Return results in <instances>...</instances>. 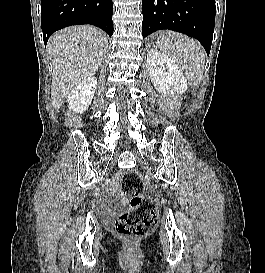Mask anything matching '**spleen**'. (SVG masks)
<instances>
[{"label": "spleen", "instance_id": "spleen-1", "mask_svg": "<svg viewBox=\"0 0 265 273\" xmlns=\"http://www.w3.org/2000/svg\"><path fill=\"white\" fill-rule=\"evenodd\" d=\"M160 50L184 71L192 86L200 84L204 70V50L200 43L183 34L166 31L157 40Z\"/></svg>", "mask_w": 265, "mask_h": 273}]
</instances>
